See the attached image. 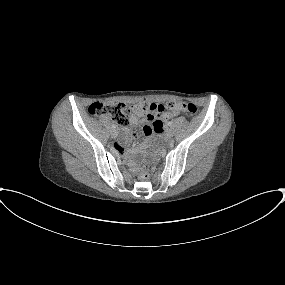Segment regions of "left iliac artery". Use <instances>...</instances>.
<instances>
[{"instance_id":"44dca946","label":"left iliac artery","mask_w":285,"mask_h":285,"mask_svg":"<svg viewBox=\"0 0 285 285\" xmlns=\"http://www.w3.org/2000/svg\"><path fill=\"white\" fill-rule=\"evenodd\" d=\"M167 125H168V126H171V125H172V122H168Z\"/></svg>"}]
</instances>
